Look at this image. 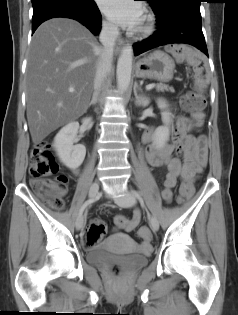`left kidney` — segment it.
<instances>
[{
  "label": "left kidney",
  "instance_id": "obj_1",
  "mask_svg": "<svg viewBox=\"0 0 238 315\" xmlns=\"http://www.w3.org/2000/svg\"><path fill=\"white\" fill-rule=\"evenodd\" d=\"M137 104L147 106L149 104V99L146 97H137ZM157 105L162 111L161 116L164 125L155 130L153 135V145L156 148H162L169 140L172 114L167 110L168 105L164 99H158Z\"/></svg>",
  "mask_w": 238,
  "mask_h": 315
}]
</instances>
